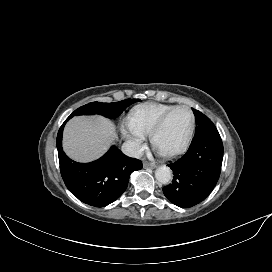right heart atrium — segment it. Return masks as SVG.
I'll list each match as a JSON object with an SVG mask.
<instances>
[{
  "mask_svg": "<svg viewBox=\"0 0 272 272\" xmlns=\"http://www.w3.org/2000/svg\"><path fill=\"white\" fill-rule=\"evenodd\" d=\"M122 134L124 138L126 139V142L128 144V147L131 153L135 156L139 155L143 149L144 137L134 133L133 131H131L130 129L126 127L122 128Z\"/></svg>",
  "mask_w": 272,
  "mask_h": 272,
  "instance_id": "right-heart-atrium-1",
  "label": "right heart atrium"
}]
</instances>
